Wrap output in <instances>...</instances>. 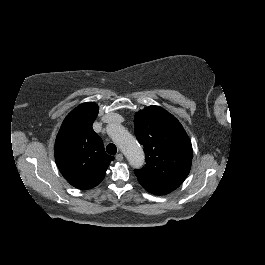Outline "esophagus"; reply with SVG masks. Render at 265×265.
I'll return each mask as SVG.
<instances>
[{"label": "esophagus", "mask_w": 265, "mask_h": 265, "mask_svg": "<svg viewBox=\"0 0 265 265\" xmlns=\"http://www.w3.org/2000/svg\"><path fill=\"white\" fill-rule=\"evenodd\" d=\"M115 158H116L117 161H122L124 159V156H123L122 153H119V154L116 155Z\"/></svg>", "instance_id": "esophagus-1"}]
</instances>
